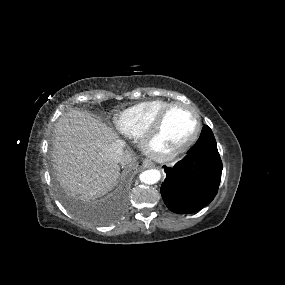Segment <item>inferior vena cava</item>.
Returning <instances> with one entry per match:
<instances>
[{"instance_id":"602c4592","label":"inferior vena cava","mask_w":285,"mask_h":285,"mask_svg":"<svg viewBox=\"0 0 285 285\" xmlns=\"http://www.w3.org/2000/svg\"><path fill=\"white\" fill-rule=\"evenodd\" d=\"M125 146V143L122 140H117L113 144V148L110 154V157L113 161L122 163L123 162V147Z\"/></svg>"}]
</instances>
